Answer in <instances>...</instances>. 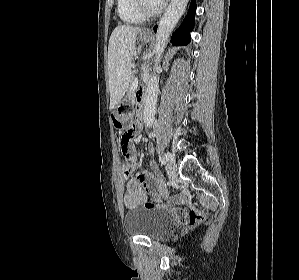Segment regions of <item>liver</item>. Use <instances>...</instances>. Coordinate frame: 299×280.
Masks as SVG:
<instances>
[{
  "label": "liver",
  "instance_id": "6515ba94",
  "mask_svg": "<svg viewBox=\"0 0 299 280\" xmlns=\"http://www.w3.org/2000/svg\"><path fill=\"white\" fill-rule=\"evenodd\" d=\"M140 27L118 25L112 32L108 45V70L110 84V110L123 98L131 79V61Z\"/></svg>",
  "mask_w": 299,
  "mask_h": 280
}]
</instances>
